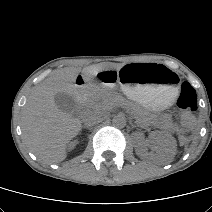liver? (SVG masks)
Instances as JSON below:
<instances>
[{
	"label": "liver",
	"mask_w": 212,
	"mask_h": 212,
	"mask_svg": "<svg viewBox=\"0 0 212 212\" xmlns=\"http://www.w3.org/2000/svg\"><path fill=\"white\" fill-rule=\"evenodd\" d=\"M123 64L113 67L120 69ZM108 69L103 64L85 67L83 72L94 75ZM78 69L63 68L37 86L22 111L21 125L25 144L46 164L66 158V145L81 130V121L58 109L54 96L59 92L74 94Z\"/></svg>",
	"instance_id": "6515ba94"
}]
</instances>
